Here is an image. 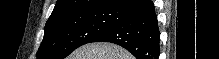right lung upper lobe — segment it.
Instances as JSON below:
<instances>
[{
	"instance_id": "1",
	"label": "right lung upper lobe",
	"mask_w": 219,
	"mask_h": 59,
	"mask_svg": "<svg viewBox=\"0 0 219 59\" xmlns=\"http://www.w3.org/2000/svg\"><path fill=\"white\" fill-rule=\"evenodd\" d=\"M123 0H57L49 20L94 10L112 9Z\"/></svg>"
}]
</instances>
